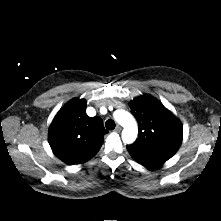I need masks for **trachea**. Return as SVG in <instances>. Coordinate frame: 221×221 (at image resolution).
<instances>
[{
    "instance_id": "trachea-1",
    "label": "trachea",
    "mask_w": 221,
    "mask_h": 221,
    "mask_svg": "<svg viewBox=\"0 0 221 221\" xmlns=\"http://www.w3.org/2000/svg\"><path fill=\"white\" fill-rule=\"evenodd\" d=\"M115 122L113 120H107L105 122V127L108 129V130H113L115 128Z\"/></svg>"
}]
</instances>
